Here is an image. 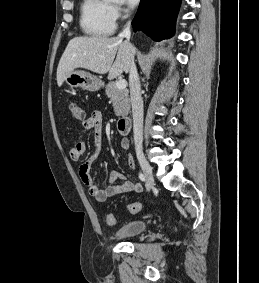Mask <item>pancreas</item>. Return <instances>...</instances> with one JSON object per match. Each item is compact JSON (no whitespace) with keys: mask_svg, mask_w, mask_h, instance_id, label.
Masks as SVG:
<instances>
[{"mask_svg":"<svg viewBox=\"0 0 259 283\" xmlns=\"http://www.w3.org/2000/svg\"><path fill=\"white\" fill-rule=\"evenodd\" d=\"M106 95L113 103L116 116L127 115L130 111V99L128 89H118L115 82H110L106 86Z\"/></svg>","mask_w":259,"mask_h":283,"instance_id":"pancreas-1","label":"pancreas"}]
</instances>
